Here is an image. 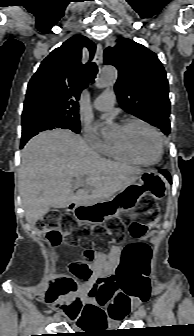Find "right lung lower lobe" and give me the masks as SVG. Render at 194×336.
<instances>
[{
  "label": "right lung lower lobe",
  "instance_id": "1",
  "mask_svg": "<svg viewBox=\"0 0 194 336\" xmlns=\"http://www.w3.org/2000/svg\"><path fill=\"white\" fill-rule=\"evenodd\" d=\"M25 143H26V142H22V143H21V148L25 145Z\"/></svg>",
  "mask_w": 194,
  "mask_h": 336
}]
</instances>
